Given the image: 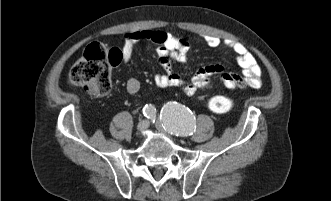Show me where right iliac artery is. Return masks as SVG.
Masks as SVG:
<instances>
[{
  "mask_svg": "<svg viewBox=\"0 0 331 201\" xmlns=\"http://www.w3.org/2000/svg\"><path fill=\"white\" fill-rule=\"evenodd\" d=\"M143 114L148 119H154L156 117V109L153 105H145L143 108Z\"/></svg>",
  "mask_w": 331,
  "mask_h": 201,
  "instance_id": "obj_1",
  "label": "right iliac artery"
}]
</instances>
